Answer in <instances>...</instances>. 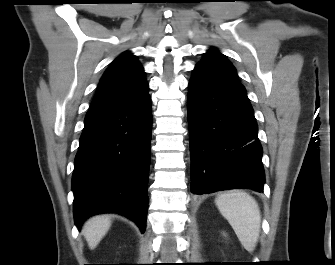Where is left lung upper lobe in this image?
Masks as SVG:
<instances>
[{
    "label": "left lung upper lobe",
    "instance_id": "5c2ea615",
    "mask_svg": "<svg viewBox=\"0 0 335 265\" xmlns=\"http://www.w3.org/2000/svg\"><path fill=\"white\" fill-rule=\"evenodd\" d=\"M197 67L212 70L224 75L237 77L236 69L228 59L215 48L203 55V59L197 63Z\"/></svg>",
    "mask_w": 335,
    "mask_h": 265
}]
</instances>
